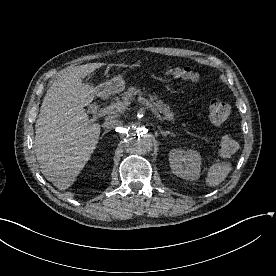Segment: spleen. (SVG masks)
Wrapping results in <instances>:
<instances>
[{
  "instance_id": "3e777b00",
  "label": "spleen",
  "mask_w": 276,
  "mask_h": 276,
  "mask_svg": "<svg viewBox=\"0 0 276 276\" xmlns=\"http://www.w3.org/2000/svg\"><path fill=\"white\" fill-rule=\"evenodd\" d=\"M232 167L230 162H217L209 168L206 183L208 186H217L223 182L230 173Z\"/></svg>"
}]
</instances>
